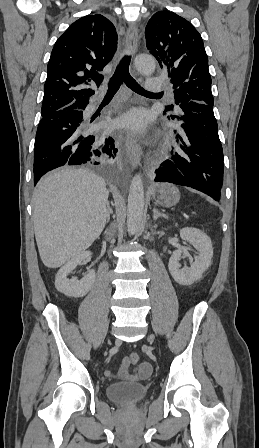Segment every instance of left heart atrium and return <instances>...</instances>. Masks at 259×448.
<instances>
[{
	"mask_svg": "<svg viewBox=\"0 0 259 448\" xmlns=\"http://www.w3.org/2000/svg\"><path fill=\"white\" fill-rule=\"evenodd\" d=\"M121 124L136 132L144 130L146 127V115L144 110H132L122 119ZM170 155L171 157H177L178 152H171Z\"/></svg>",
	"mask_w": 259,
	"mask_h": 448,
	"instance_id": "obj_1",
	"label": "left heart atrium"
}]
</instances>
